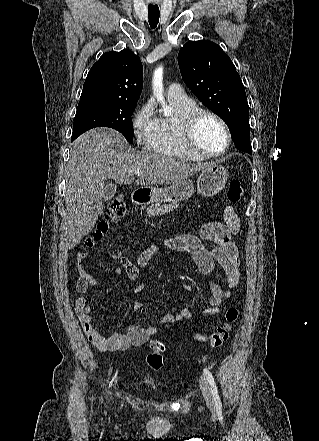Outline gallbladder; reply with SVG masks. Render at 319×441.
<instances>
[{"mask_svg": "<svg viewBox=\"0 0 319 441\" xmlns=\"http://www.w3.org/2000/svg\"><path fill=\"white\" fill-rule=\"evenodd\" d=\"M116 190H117L116 184H114V183L107 184L104 189L103 198L105 200L111 199L115 195Z\"/></svg>", "mask_w": 319, "mask_h": 441, "instance_id": "1", "label": "gallbladder"}]
</instances>
